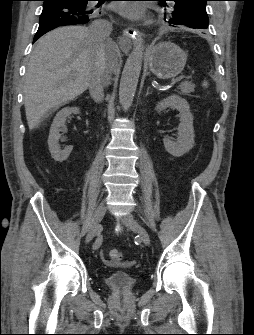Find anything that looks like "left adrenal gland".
I'll use <instances>...</instances> for the list:
<instances>
[{
  "instance_id": "obj_1",
  "label": "left adrenal gland",
  "mask_w": 254,
  "mask_h": 335,
  "mask_svg": "<svg viewBox=\"0 0 254 335\" xmlns=\"http://www.w3.org/2000/svg\"><path fill=\"white\" fill-rule=\"evenodd\" d=\"M149 90H150V87L147 88V92H146V94H145L146 97L150 94V91H149Z\"/></svg>"
}]
</instances>
